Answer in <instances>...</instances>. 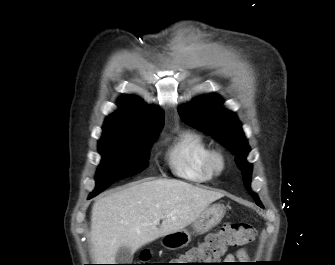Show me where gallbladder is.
Masks as SVG:
<instances>
[{
	"label": "gallbladder",
	"mask_w": 335,
	"mask_h": 265,
	"mask_svg": "<svg viewBox=\"0 0 335 265\" xmlns=\"http://www.w3.org/2000/svg\"><path fill=\"white\" fill-rule=\"evenodd\" d=\"M133 260V252L131 248L121 246L115 255L116 264H131Z\"/></svg>",
	"instance_id": "bac80fb5"
}]
</instances>
